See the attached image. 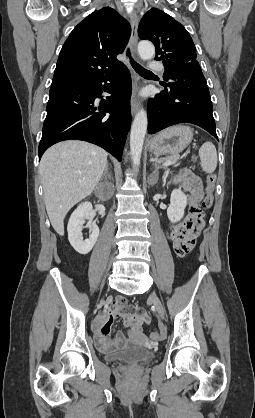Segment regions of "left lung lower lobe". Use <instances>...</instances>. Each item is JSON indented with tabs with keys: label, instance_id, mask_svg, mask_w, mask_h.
I'll use <instances>...</instances> for the list:
<instances>
[{
	"label": "left lung lower lobe",
	"instance_id": "obj_1",
	"mask_svg": "<svg viewBox=\"0 0 255 418\" xmlns=\"http://www.w3.org/2000/svg\"><path fill=\"white\" fill-rule=\"evenodd\" d=\"M164 80L168 82L164 84L165 91L148 103L149 134L178 123H192L218 139L210 93L200 65L169 70Z\"/></svg>",
	"mask_w": 255,
	"mask_h": 418
}]
</instances>
